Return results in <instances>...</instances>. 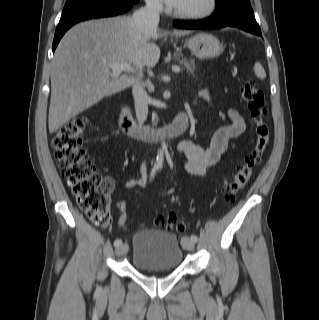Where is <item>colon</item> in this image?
<instances>
[{"mask_svg":"<svg viewBox=\"0 0 319 320\" xmlns=\"http://www.w3.org/2000/svg\"><path fill=\"white\" fill-rule=\"evenodd\" d=\"M241 95L251 115L255 138L249 155L222 187L221 195L226 204L233 202L237 192L248 183L269 142L263 92L254 80H248L241 88ZM86 125L87 120L84 117L67 122L53 137L52 148L62 175L72 186L79 207L94 224L105 225L110 221V192L113 184L108 177L97 171L83 148ZM118 223L121 227L126 226L125 214H121ZM154 225L178 233H184L187 229L186 223L179 220L174 213L157 215Z\"/></svg>","mask_w":319,"mask_h":320,"instance_id":"colon-1","label":"colon"}]
</instances>
